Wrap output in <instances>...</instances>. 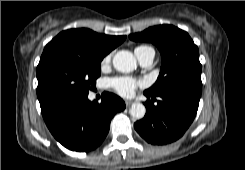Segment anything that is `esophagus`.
Masks as SVG:
<instances>
[{
    "instance_id": "1",
    "label": "esophagus",
    "mask_w": 245,
    "mask_h": 170,
    "mask_svg": "<svg viewBox=\"0 0 245 170\" xmlns=\"http://www.w3.org/2000/svg\"><path fill=\"white\" fill-rule=\"evenodd\" d=\"M132 103H133V101H131V100H125V104L127 107H129Z\"/></svg>"
}]
</instances>
